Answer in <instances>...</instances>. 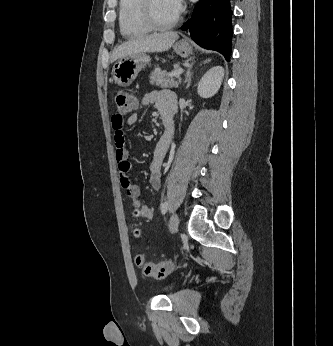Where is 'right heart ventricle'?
<instances>
[{"label": "right heart ventricle", "mask_w": 333, "mask_h": 346, "mask_svg": "<svg viewBox=\"0 0 333 346\" xmlns=\"http://www.w3.org/2000/svg\"><path fill=\"white\" fill-rule=\"evenodd\" d=\"M118 22L125 38H136L150 31L142 14L141 0H119Z\"/></svg>", "instance_id": "obj_1"}]
</instances>
